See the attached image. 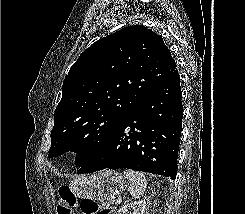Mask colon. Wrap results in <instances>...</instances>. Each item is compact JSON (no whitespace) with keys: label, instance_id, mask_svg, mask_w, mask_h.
I'll use <instances>...</instances> for the list:
<instances>
[{"label":"colon","instance_id":"1","mask_svg":"<svg viewBox=\"0 0 245 214\" xmlns=\"http://www.w3.org/2000/svg\"><path fill=\"white\" fill-rule=\"evenodd\" d=\"M77 206V198L70 188L63 186L58 191V214H73ZM82 214H116L115 208L110 205H99L95 200L84 199L80 203Z\"/></svg>","mask_w":245,"mask_h":214}]
</instances>
